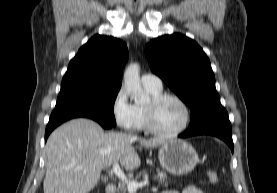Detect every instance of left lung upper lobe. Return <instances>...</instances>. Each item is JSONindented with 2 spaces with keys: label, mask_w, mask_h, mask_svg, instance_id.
I'll return each instance as SVG.
<instances>
[{
  "label": "left lung upper lobe",
  "mask_w": 277,
  "mask_h": 193,
  "mask_svg": "<svg viewBox=\"0 0 277 193\" xmlns=\"http://www.w3.org/2000/svg\"><path fill=\"white\" fill-rule=\"evenodd\" d=\"M145 54L152 72L191 109L190 126L225 111L210 61L195 41L179 33L164 35L151 41Z\"/></svg>",
  "instance_id": "1"
}]
</instances>
